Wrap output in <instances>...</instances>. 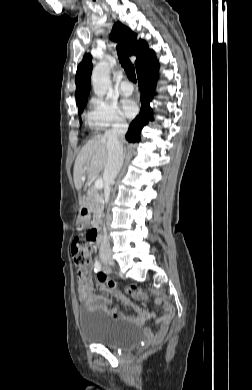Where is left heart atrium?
I'll return each instance as SVG.
<instances>
[{"instance_id":"obj_1","label":"left heart atrium","mask_w":252,"mask_h":390,"mask_svg":"<svg viewBox=\"0 0 252 390\" xmlns=\"http://www.w3.org/2000/svg\"><path fill=\"white\" fill-rule=\"evenodd\" d=\"M122 107H123L124 113L129 117L134 116L137 112V106H136L135 102H133L132 100H129V99L124 100L122 103Z\"/></svg>"}]
</instances>
